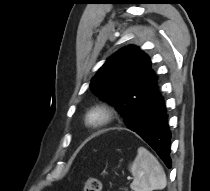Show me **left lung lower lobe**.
<instances>
[{
	"mask_svg": "<svg viewBox=\"0 0 210 191\" xmlns=\"http://www.w3.org/2000/svg\"><path fill=\"white\" fill-rule=\"evenodd\" d=\"M129 117L126 125L146 141L159 155L168 168H171L168 115L165 101L156 82L149 95L137 105L133 119Z\"/></svg>",
	"mask_w": 210,
	"mask_h": 191,
	"instance_id": "1",
	"label": "left lung lower lobe"
}]
</instances>
